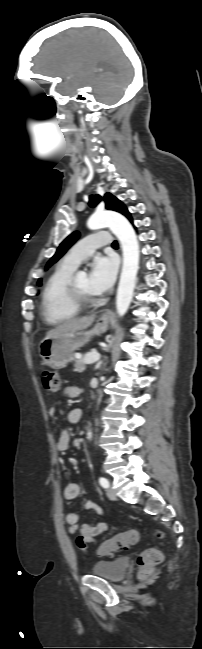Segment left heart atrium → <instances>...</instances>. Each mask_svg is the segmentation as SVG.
<instances>
[{
	"mask_svg": "<svg viewBox=\"0 0 202 649\" xmlns=\"http://www.w3.org/2000/svg\"><path fill=\"white\" fill-rule=\"evenodd\" d=\"M117 263L112 257H97L91 264L88 281L94 294L107 292L116 279Z\"/></svg>",
	"mask_w": 202,
	"mask_h": 649,
	"instance_id": "left-heart-atrium-1",
	"label": "left heart atrium"
}]
</instances>
